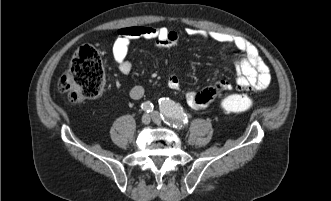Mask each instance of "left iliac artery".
<instances>
[{
	"mask_svg": "<svg viewBox=\"0 0 331 201\" xmlns=\"http://www.w3.org/2000/svg\"><path fill=\"white\" fill-rule=\"evenodd\" d=\"M159 104L162 119H165L173 127L181 129L188 123V116L179 104L169 100V98L159 99Z\"/></svg>",
	"mask_w": 331,
	"mask_h": 201,
	"instance_id": "obj_1",
	"label": "left iliac artery"
}]
</instances>
